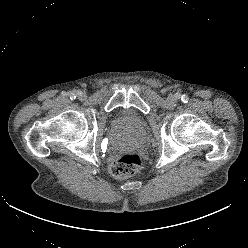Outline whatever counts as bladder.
Segmentation results:
<instances>
[{
  "label": "bladder",
  "instance_id": "31cf9c89",
  "mask_svg": "<svg viewBox=\"0 0 248 248\" xmlns=\"http://www.w3.org/2000/svg\"><path fill=\"white\" fill-rule=\"evenodd\" d=\"M119 118H123V119H126V118H129L128 117V115H127V113H125V112H121L120 114H119ZM140 138H138V137H133L132 139H130V141H129V143L130 144H137V143H139L140 142Z\"/></svg>",
  "mask_w": 248,
  "mask_h": 248
}]
</instances>
